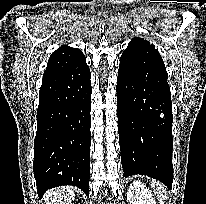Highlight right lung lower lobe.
<instances>
[{"instance_id": "1", "label": "right lung lower lobe", "mask_w": 206, "mask_h": 204, "mask_svg": "<svg viewBox=\"0 0 206 204\" xmlns=\"http://www.w3.org/2000/svg\"><path fill=\"white\" fill-rule=\"evenodd\" d=\"M90 77L85 59L43 77L33 161L40 197L62 185L77 186L89 195Z\"/></svg>"}]
</instances>
